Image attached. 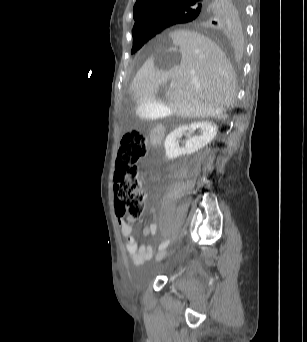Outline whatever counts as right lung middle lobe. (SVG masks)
Here are the masks:
<instances>
[{"instance_id": "right-lung-middle-lobe-1", "label": "right lung middle lobe", "mask_w": 307, "mask_h": 342, "mask_svg": "<svg viewBox=\"0 0 307 342\" xmlns=\"http://www.w3.org/2000/svg\"><path fill=\"white\" fill-rule=\"evenodd\" d=\"M193 15L192 11H186L179 13L174 16V19L176 21H183L188 18H190ZM161 30H153V31H147L142 32L133 35V47L131 50V53L137 52L148 40H150L152 37H154L156 34H158Z\"/></svg>"}]
</instances>
